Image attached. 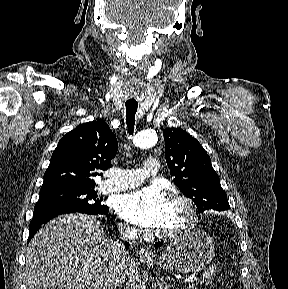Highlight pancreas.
<instances>
[{
  "label": "pancreas",
  "mask_w": 288,
  "mask_h": 289,
  "mask_svg": "<svg viewBox=\"0 0 288 289\" xmlns=\"http://www.w3.org/2000/svg\"><path fill=\"white\" fill-rule=\"evenodd\" d=\"M206 274V275H205ZM213 274H214V270L212 268H209L204 274H203V278L201 280V284H203L206 280H212L213 279Z\"/></svg>",
  "instance_id": "obj_1"
}]
</instances>
